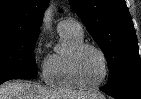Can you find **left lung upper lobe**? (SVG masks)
I'll return each mask as SVG.
<instances>
[{
    "label": "left lung upper lobe",
    "mask_w": 141,
    "mask_h": 99,
    "mask_svg": "<svg viewBox=\"0 0 141 99\" xmlns=\"http://www.w3.org/2000/svg\"><path fill=\"white\" fill-rule=\"evenodd\" d=\"M72 9L102 49L110 69L107 87L141 85V59L124 0H70Z\"/></svg>",
    "instance_id": "left-lung-upper-lobe-1"
}]
</instances>
